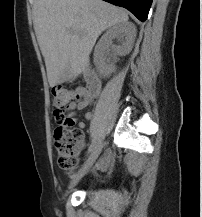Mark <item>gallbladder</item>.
Listing matches in <instances>:
<instances>
[{"label":"gallbladder","instance_id":"gallbladder-1","mask_svg":"<svg viewBox=\"0 0 202 217\" xmlns=\"http://www.w3.org/2000/svg\"><path fill=\"white\" fill-rule=\"evenodd\" d=\"M69 70H70V68L68 67V68L64 71L65 76H61V77H60L59 83H64V82L68 79V76H69V74H70Z\"/></svg>","mask_w":202,"mask_h":217}]
</instances>
